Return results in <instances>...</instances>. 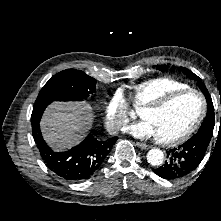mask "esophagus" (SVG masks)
<instances>
[{
  "mask_svg": "<svg viewBox=\"0 0 221 221\" xmlns=\"http://www.w3.org/2000/svg\"><path fill=\"white\" fill-rule=\"evenodd\" d=\"M136 145L141 149H149L150 147L143 142H136Z\"/></svg>",
  "mask_w": 221,
  "mask_h": 221,
  "instance_id": "obj_1",
  "label": "esophagus"
}]
</instances>
